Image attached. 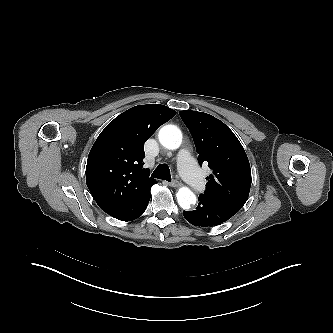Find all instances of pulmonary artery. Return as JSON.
<instances>
[{
    "label": "pulmonary artery",
    "mask_w": 333,
    "mask_h": 333,
    "mask_svg": "<svg viewBox=\"0 0 333 333\" xmlns=\"http://www.w3.org/2000/svg\"><path fill=\"white\" fill-rule=\"evenodd\" d=\"M177 163L181 175L193 189L202 191L205 182L191 154L187 150H181L177 156Z\"/></svg>",
    "instance_id": "obj_1"
}]
</instances>
